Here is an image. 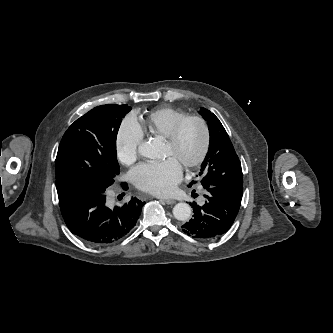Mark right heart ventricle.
I'll use <instances>...</instances> for the list:
<instances>
[{
	"label": "right heart ventricle",
	"mask_w": 333,
	"mask_h": 333,
	"mask_svg": "<svg viewBox=\"0 0 333 333\" xmlns=\"http://www.w3.org/2000/svg\"><path fill=\"white\" fill-rule=\"evenodd\" d=\"M188 113L181 109L163 107L151 111L143 120L141 128L148 135L162 136L166 138L174 125Z\"/></svg>",
	"instance_id": "obj_1"
}]
</instances>
